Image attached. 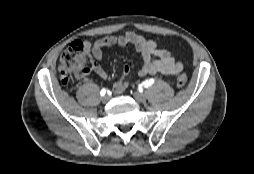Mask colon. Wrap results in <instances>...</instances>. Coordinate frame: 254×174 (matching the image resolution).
<instances>
[{"instance_id":"5ec220e1","label":"colon","mask_w":254,"mask_h":174,"mask_svg":"<svg viewBox=\"0 0 254 174\" xmlns=\"http://www.w3.org/2000/svg\"><path fill=\"white\" fill-rule=\"evenodd\" d=\"M91 66L88 64L87 52L81 41L72 42L63 52L60 65V81L63 85H67L73 76L88 72ZM187 83L185 74H180L176 79V85L183 88Z\"/></svg>"}]
</instances>
